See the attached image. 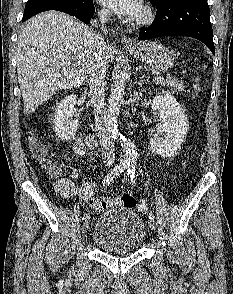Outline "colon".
<instances>
[{"label":"colon","mask_w":233,"mask_h":294,"mask_svg":"<svg viewBox=\"0 0 233 294\" xmlns=\"http://www.w3.org/2000/svg\"><path fill=\"white\" fill-rule=\"evenodd\" d=\"M31 151L32 153L40 158V159H44L47 155V147L45 144L37 141V140H33L31 142ZM53 171H55L53 169ZM115 204H117L118 206L121 207H127V208H134L136 207L137 203H136V199L130 195V194H122L120 195L114 202ZM112 202L111 201H92L91 205L94 209L96 210H106L108 208H110L112 206ZM146 208L145 204L142 203L139 205V209L144 210Z\"/></svg>","instance_id":"1"}]
</instances>
